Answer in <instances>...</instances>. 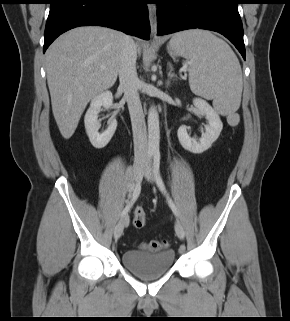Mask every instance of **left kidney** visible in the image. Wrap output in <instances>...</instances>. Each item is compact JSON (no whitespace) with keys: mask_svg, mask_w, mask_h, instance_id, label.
<instances>
[{"mask_svg":"<svg viewBox=\"0 0 290 321\" xmlns=\"http://www.w3.org/2000/svg\"><path fill=\"white\" fill-rule=\"evenodd\" d=\"M193 104L200 113L206 115L208 125L205 127V133L197 141L188 135L186 126H180L177 135L183 148L192 153L199 154L209 149L212 143L217 140L222 131L223 124L219 115L207 101L201 98H195L193 99Z\"/></svg>","mask_w":290,"mask_h":321,"instance_id":"5707ae66","label":"left kidney"}]
</instances>
